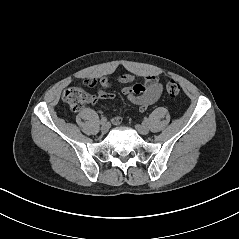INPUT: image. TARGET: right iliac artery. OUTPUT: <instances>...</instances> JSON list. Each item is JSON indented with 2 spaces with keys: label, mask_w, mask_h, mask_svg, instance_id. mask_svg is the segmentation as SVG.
I'll return each mask as SVG.
<instances>
[{
  "label": "right iliac artery",
  "mask_w": 239,
  "mask_h": 239,
  "mask_svg": "<svg viewBox=\"0 0 239 239\" xmlns=\"http://www.w3.org/2000/svg\"><path fill=\"white\" fill-rule=\"evenodd\" d=\"M107 122V118L106 117H102L100 120L101 124H105Z\"/></svg>",
  "instance_id": "82829eb1"
}]
</instances>
